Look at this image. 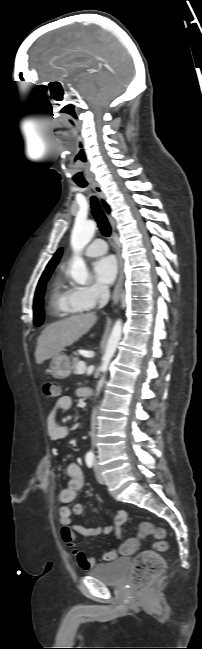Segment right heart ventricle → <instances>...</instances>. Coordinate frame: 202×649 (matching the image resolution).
<instances>
[{"label": "right heart ventricle", "mask_w": 202, "mask_h": 649, "mask_svg": "<svg viewBox=\"0 0 202 649\" xmlns=\"http://www.w3.org/2000/svg\"><path fill=\"white\" fill-rule=\"evenodd\" d=\"M49 309L58 317L72 316L84 310L76 300V289L62 272L57 273L51 282Z\"/></svg>", "instance_id": "1"}]
</instances>
